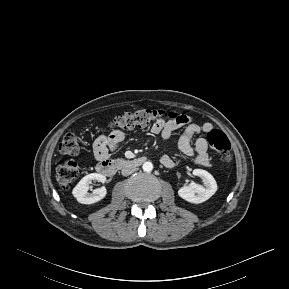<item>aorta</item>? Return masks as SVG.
<instances>
[{"label": "aorta", "instance_id": "aorta-1", "mask_svg": "<svg viewBox=\"0 0 289 289\" xmlns=\"http://www.w3.org/2000/svg\"><path fill=\"white\" fill-rule=\"evenodd\" d=\"M142 169L145 172H151L153 170V164L147 161L142 165Z\"/></svg>", "mask_w": 289, "mask_h": 289}]
</instances>
